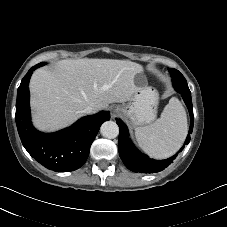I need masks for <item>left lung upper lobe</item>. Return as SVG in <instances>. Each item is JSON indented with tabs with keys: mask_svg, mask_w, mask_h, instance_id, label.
<instances>
[{
	"mask_svg": "<svg viewBox=\"0 0 227 227\" xmlns=\"http://www.w3.org/2000/svg\"><path fill=\"white\" fill-rule=\"evenodd\" d=\"M169 72L172 77H183V75L176 69L169 68Z\"/></svg>",
	"mask_w": 227,
	"mask_h": 227,
	"instance_id": "left-lung-upper-lobe-1",
	"label": "left lung upper lobe"
}]
</instances>
